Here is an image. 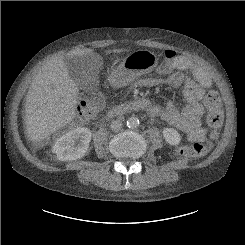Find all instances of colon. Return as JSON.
Here are the masks:
<instances>
[{
    "instance_id": "5ec220e1",
    "label": "colon",
    "mask_w": 245,
    "mask_h": 245,
    "mask_svg": "<svg viewBox=\"0 0 245 245\" xmlns=\"http://www.w3.org/2000/svg\"><path fill=\"white\" fill-rule=\"evenodd\" d=\"M175 52H168L167 58L171 59ZM206 106L211 110L210 123L213 132L207 139L194 142L188 145H179L175 148V154L181 158H199L204 156L215 141L218 130L222 125L223 115L219 111L220 96L215 90H210L205 97ZM104 104L102 94L97 90H90L84 93L78 108V114L74 120L75 126H83L90 122L101 110Z\"/></svg>"
}]
</instances>
